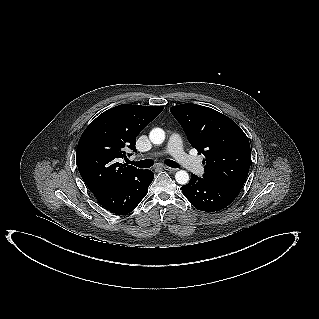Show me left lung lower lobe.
<instances>
[{
    "label": "left lung lower lobe",
    "instance_id": "left-lung-lower-lobe-1",
    "mask_svg": "<svg viewBox=\"0 0 319 319\" xmlns=\"http://www.w3.org/2000/svg\"><path fill=\"white\" fill-rule=\"evenodd\" d=\"M184 196L197 209L215 212L229 206L239 193L214 181L191 174L187 185L182 186Z\"/></svg>",
    "mask_w": 319,
    "mask_h": 319
}]
</instances>
